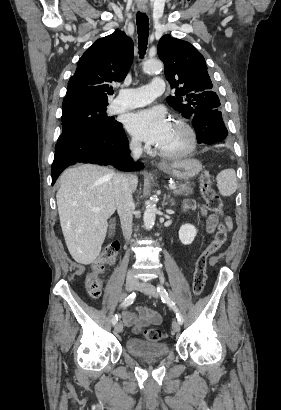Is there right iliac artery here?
Instances as JSON below:
<instances>
[{"mask_svg":"<svg viewBox=\"0 0 281 410\" xmlns=\"http://www.w3.org/2000/svg\"><path fill=\"white\" fill-rule=\"evenodd\" d=\"M135 297H136V293L133 292L127 298H125V300L121 304V307H127V306L131 305L134 302ZM117 321H118V315L115 314L112 318V323L116 324Z\"/></svg>","mask_w":281,"mask_h":410,"instance_id":"1","label":"right iliac artery"}]
</instances>
